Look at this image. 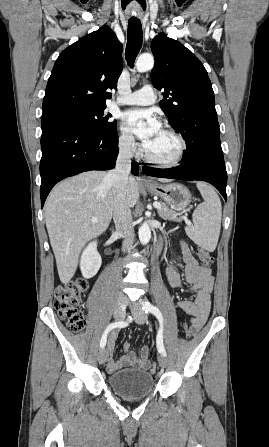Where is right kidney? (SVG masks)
Here are the masks:
<instances>
[{"mask_svg":"<svg viewBox=\"0 0 269 447\" xmlns=\"http://www.w3.org/2000/svg\"><path fill=\"white\" fill-rule=\"evenodd\" d=\"M101 263V255L97 251V241H91L81 255L80 269L83 277H87L88 279V277L96 275Z\"/></svg>","mask_w":269,"mask_h":447,"instance_id":"obj_1","label":"right kidney"}]
</instances>
